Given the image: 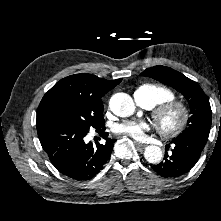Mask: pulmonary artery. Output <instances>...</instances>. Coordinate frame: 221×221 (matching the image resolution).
<instances>
[{"instance_id": "pulmonary-artery-1", "label": "pulmonary artery", "mask_w": 221, "mask_h": 221, "mask_svg": "<svg viewBox=\"0 0 221 221\" xmlns=\"http://www.w3.org/2000/svg\"><path fill=\"white\" fill-rule=\"evenodd\" d=\"M134 99L136 101L137 104H139L140 106L146 108V109H150L152 108L151 102L149 97L142 91H135L134 93Z\"/></svg>"}]
</instances>
